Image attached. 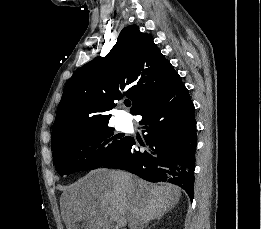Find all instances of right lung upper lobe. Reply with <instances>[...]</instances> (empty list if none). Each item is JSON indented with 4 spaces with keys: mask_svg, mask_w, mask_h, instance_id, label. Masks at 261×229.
Listing matches in <instances>:
<instances>
[{
    "mask_svg": "<svg viewBox=\"0 0 261 229\" xmlns=\"http://www.w3.org/2000/svg\"><path fill=\"white\" fill-rule=\"evenodd\" d=\"M179 75L136 25L123 28L117 45L77 69L67 81L52 130L51 149L68 136L69 128L108 123L116 100L126 95L135 113L159 97Z\"/></svg>",
    "mask_w": 261,
    "mask_h": 229,
    "instance_id": "obj_1",
    "label": "right lung upper lobe"
}]
</instances>
